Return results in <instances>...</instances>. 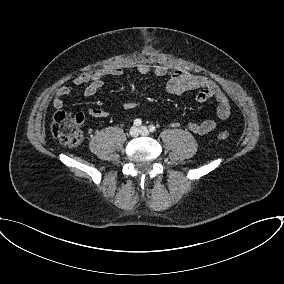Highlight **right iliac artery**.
I'll use <instances>...</instances> for the list:
<instances>
[{
	"mask_svg": "<svg viewBox=\"0 0 284 284\" xmlns=\"http://www.w3.org/2000/svg\"><path fill=\"white\" fill-rule=\"evenodd\" d=\"M133 124L135 126H140L142 124V121L140 119H135Z\"/></svg>",
	"mask_w": 284,
	"mask_h": 284,
	"instance_id": "1",
	"label": "right iliac artery"
}]
</instances>
